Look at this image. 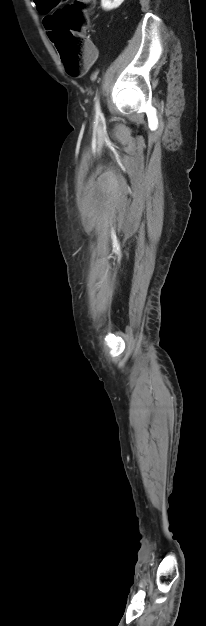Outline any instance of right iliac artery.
<instances>
[{"label": "right iliac artery", "instance_id": "1", "mask_svg": "<svg viewBox=\"0 0 206 626\" xmlns=\"http://www.w3.org/2000/svg\"><path fill=\"white\" fill-rule=\"evenodd\" d=\"M95 100H96V102H95V111H96V117L98 118L101 115V110H100V104H99L98 97H96Z\"/></svg>", "mask_w": 206, "mask_h": 626}]
</instances>
